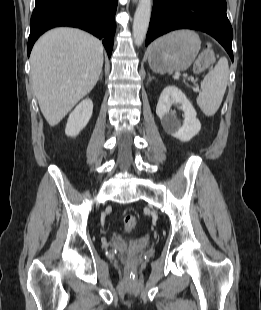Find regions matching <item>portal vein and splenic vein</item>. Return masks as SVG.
Returning <instances> with one entry per match:
<instances>
[{"instance_id":"obj_1","label":"portal vein and splenic vein","mask_w":261,"mask_h":310,"mask_svg":"<svg viewBox=\"0 0 261 310\" xmlns=\"http://www.w3.org/2000/svg\"><path fill=\"white\" fill-rule=\"evenodd\" d=\"M180 74L179 73H176L174 75V78H179ZM194 92H199V89L198 88H193Z\"/></svg>"}]
</instances>
